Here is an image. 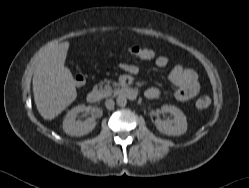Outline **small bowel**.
Returning a JSON list of instances; mask_svg holds the SVG:
<instances>
[{
    "label": "small bowel",
    "instance_id": "obj_1",
    "mask_svg": "<svg viewBox=\"0 0 249 188\" xmlns=\"http://www.w3.org/2000/svg\"><path fill=\"white\" fill-rule=\"evenodd\" d=\"M168 62L169 60L166 56H159L156 58L155 64L159 68H165ZM121 68L132 75H137L141 72L140 67L134 64H122ZM168 80L175 87L174 99L180 102L193 99L201 89L197 73L193 69L185 68L182 65L173 67ZM145 95L148 99L155 100L161 95V90L157 87H151L146 90Z\"/></svg>",
    "mask_w": 249,
    "mask_h": 188
}]
</instances>
